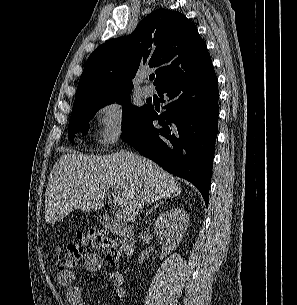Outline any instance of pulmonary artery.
I'll return each mask as SVG.
<instances>
[{"instance_id":"pulmonary-artery-1","label":"pulmonary artery","mask_w":297,"mask_h":305,"mask_svg":"<svg viewBox=\"0 0 297 305\" xmlns=\"http://www.w3.org/2000/svg\"><path fill=\"white\" fill-rule=\"evenodd\" d=\"M146 75H142V79H146ZM141 93L144 97H150L153 95V88L150 87V86H143L142 89H141Z\"/></svg>"}]
</instances>
